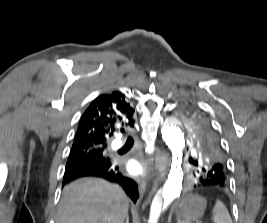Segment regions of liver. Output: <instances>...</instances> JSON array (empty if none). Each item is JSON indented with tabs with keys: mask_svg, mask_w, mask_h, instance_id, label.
Segmentation results:
<instances>
[{
	"mask_svg": "<svg viewBox=\"0 0 267 223\" xmlns=\"http://www.w3.org/2000/svg\"><path fill=\"white\" fill-rule=\"evenodd\" d=\"M128 208L119 186L83 178L64 187L56 223H124Z\"/></svg>",
	"mask_w": 267,
	"mask_h": 223,
	"instance_id": "liver-1",
	"label": "liver"
}]
</instances>
